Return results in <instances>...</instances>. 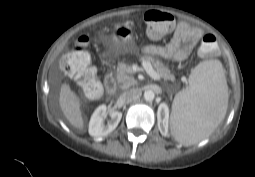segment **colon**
I'll return each instance as SVG.
<instances>
[{
    "label": "colon",
    "mask_w": 255,
    "mask_h": 177,
    "mask_svg": "<svg viewBox=\"0 0 255 177\" xmlns=\"http://www.w3.org/2000/svg\"><path fill=\"white\" fill-rule=\"evenodd\" d=\"M147 33L152 39H160L168 33L175 24L173 15L158 10H149L144 15ZM89 39L86 36L78 38L73 47L62 57L61 70L77 80L78 85L90 98H96L101 93V84L97 77L96 69L92 66L88 52ZM217 50V39L208 34L201 41L199 51L209 55Z\"/></svg>",
    "instance_id": "5ec220e1"
}]
</instances>
